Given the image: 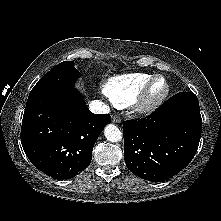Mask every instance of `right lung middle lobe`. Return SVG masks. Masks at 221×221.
I'll return each instance as SVG.
<instances>
[{
	"label": "right lung middle lobe",
	"mask_w": 221,
	"mask_h": 221,
	"mask_svg": "<svg viewBox=\"0 0 221 221\" xmlns=\"http://www.w3.org/2000/svg\"><path fill=\"white\" fill-rule=\"evenodd\" d=\"M79 76L80 73L75 69L74 61L61 62L37 82L31 90L28 100L50 93L70 90Z\"/></svg>",
	"instance_id": "right-lung-middle-lobe-1"
}]
</instances>
